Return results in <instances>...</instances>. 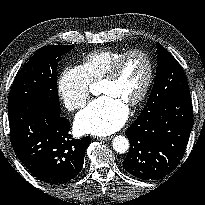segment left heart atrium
I'll return each instance as SVG.
<instances>
[{
    "label": "left heart atrium",
    "instance_id": "1",
    "mask_svg": "<svg viewBox=\"0 0 205 205\" xmlns=\"http://www.w3.org/2000/svg\"><path fill=\"white\" fill-rule=\"evenodd\" d=\"M127 106L120 100L103 95L88 104L76 117L80 133L104 136L117 131L126 121Z\"/></svg>",
    "mask_w": 205,
    "mask_h": 205
}]
</instances>
